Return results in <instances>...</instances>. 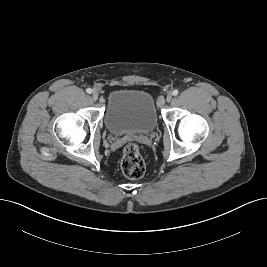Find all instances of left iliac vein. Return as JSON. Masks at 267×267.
<instances>
[{
  "label": "left iliac vein",
  "mask_w": 267,
  "mask_h": 267,
  "mask_svg": "<svg viewBox=\"0 0 267 267\" xmlns=\"http://www.w3.org/2000/svg\"><path fill=\"white\" fill-rule=\"evenodd\" d=\"M172 100V94L169 93L167 96H166V101L167 102H170Z\"/></svg>",
  "instance_id": "obj_1"
}]
</instances>
